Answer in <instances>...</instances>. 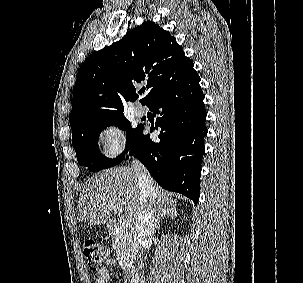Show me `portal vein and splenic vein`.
Returning a JSON list of instances; mask_svg holds the SVG:
<instances>
[{
  "instance_id": "obj_1",
  "label": "portal vein and splenic vein",
  "mask_w": 303,
  "mask_h": 283,
  "mask_svg": "<svg viewBox=\"0 0 303 283\" xmlns=\"http://www.w3.org/2000/svg\"><path fill=\"white\" fill-rule=\"evenodd\" d=\"M118 211L120 212V209H118V208H115V209H114V212H115V213H117ZM121 224H122L123 227H128V226L130 225V222H129L128 219L124 218V219L121 221Z\"/></svg>"
}]
</instances>
